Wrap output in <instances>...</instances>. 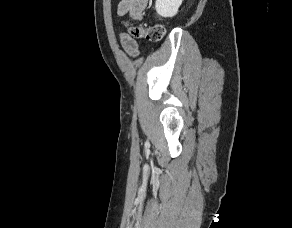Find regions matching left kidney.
I'll return each instance as SVG.
<instances>
[{
	"mask_svg": "<svg viewBox=\"0 0 292 228\" xmlns=\"http://www.w3.org/2000/svg\"><path fill=\"white\" fill-rule=\"evenodd\" d=\"M183 0H156L155 8L162 17H173L177 14Z\"/></svg>",
	"mask_w": 292,
	"mask_h": 228,
	"instance_id": "5707ae66",
	"label": "left kidney"
}]
</instances>
